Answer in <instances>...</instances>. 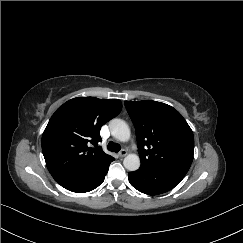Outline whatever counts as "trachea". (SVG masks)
Segmentation results:
<instances>
[{
	"instance_id": "trachea-1",
	"label": "trachea",
	"mask_w": 243,
	"mask_h": 243,
	"mask_svg": "<svg viewBox=\"0 0 243 243\" xmlns=\"http://www.w3.org/2000/svg\"><path fill=\"white\" fill-rule=\"evenodd\" d=\"M108 150L109 151H112V152H119L120 149H121V146L117 143H114V142H109L108 143V146H107Z\"/></svg>"
}]
</instances>
